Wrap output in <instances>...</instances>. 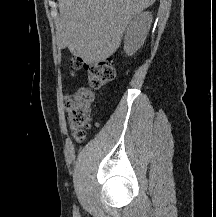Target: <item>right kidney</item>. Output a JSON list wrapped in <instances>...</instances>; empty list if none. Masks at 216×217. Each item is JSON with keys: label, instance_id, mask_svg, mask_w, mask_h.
<instances>
[{"label": "right kidney", "instance_id": "right-kidney-1", "mask_svg": "<svg viewBox=\"0 0 216 217\" xmlns=\"http://www.w3.org/2000/svg\"><path fill=\"white\" fill-rule=\"evenodd\" d=\"M150 12L139 13L127 28L124 38V50L128 55L134 54L144 43L152 23Z\"/></svg>", "mask_w": 216, "mask_h": 217}]
</instances>
